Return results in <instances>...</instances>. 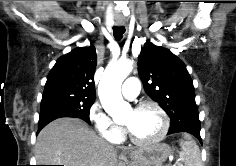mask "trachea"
<instances>
[{
    "instance_id": "1",
    "label": "trachea",
    "mask_w": 236,
    "mask_h": 166,
    "mask_svg": "<svg viewBox=\"0 0 236 166\" xmlns=\"http://www.w3.org/2000/svg\"><path fill=\"white\" fill-rule=\"evenodd\" d=\"M124 32H125L124 27H118V26L113 27V35L116 40H121Z\"/></svg>"
}]
</instances>
